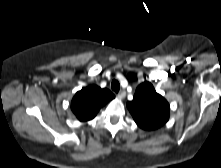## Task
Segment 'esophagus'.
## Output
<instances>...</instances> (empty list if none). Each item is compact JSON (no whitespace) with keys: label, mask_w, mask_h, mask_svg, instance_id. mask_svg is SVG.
Masks as SVG:
<instances>
[{"label":"esophagus","mask_w":221,"mask_h":168,"mask_svg":"<svg viewBox=\"0 0 221 168\" xmlns=\"http://www.w3.org/2000/svg\"><path fill=\"white\" fill-rule=\"evenodd\" d=\"M126 96V91L124 89L120 90L118 93V98L123 99Z\"/></svg>","instance_id":"obj_1"}]
</instances>
